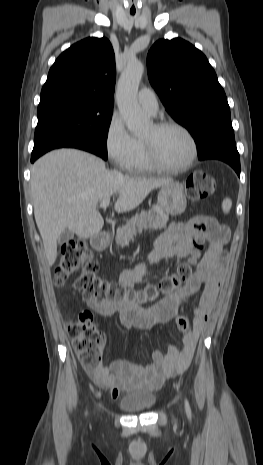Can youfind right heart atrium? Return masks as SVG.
I'll use <instances>...</instances> for the list:
<instances>
[{
  "mask_svg": "<svg viewBox=\"0 0 263 465\" xmlns=\"http://www.w3.org/2000/svg\"><path fill=\"white\" fill-rule=\"evenodd\" d=\"M105 151L119 168L128 169L136 154V140L128 132L120 115H111L104 135Z\"/></svg>",
  "mask_w": 263,
  "mask_h": 465,
  "instance_id": "right-heart-atrium-1",
  "label": "right heart atrium"
}]
</instances>
